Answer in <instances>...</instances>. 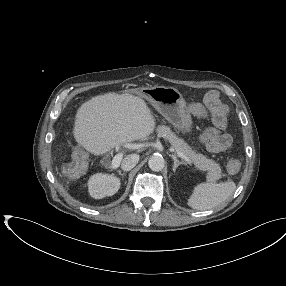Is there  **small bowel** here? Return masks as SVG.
I'll use <instances>...</instances> for the list:
<instances>
[{"label": "small bowel", "mask_w": 286, "mask_h": 286, "mask_svg": "<svg viewBox=\"0 0 286 286\" xmlns=\"http://www.w3.org/2000/svg\"><path fill=\"white\" fill-rule=\"evenodd\" d=\"M220 105V111L215 112L210 109L212 114L213 126L204 129L199 139L206 149L213 154L225 153L231 146V136L225 132L226 128V114ZM190 112L197 117H202L206 114L204 106L200 103H192L189 106Z\"/></svg>", "instance_id": "c3829d8e"}]
</instances>
